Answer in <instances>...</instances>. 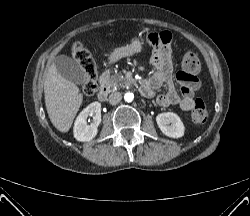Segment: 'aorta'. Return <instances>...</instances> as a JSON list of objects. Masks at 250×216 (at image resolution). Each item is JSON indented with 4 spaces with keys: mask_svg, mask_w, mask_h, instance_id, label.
<instances>
[{
    "mask_svg": "<svg viewBox=\"0 0 250 216\" xmlns=\"http://www.w3.org/2000/svg\"><path fill=\"white\" fill-rule=\"evenodd\" d=\"M124 99H125L126 102H132L133 99H134V94L130 93V92L125 93Z\"/></svg>",
    "mask_w": 250,
    "mask_h": 216,
    "instance_id": "762f6f07",
    "label": "aorta"
}]
</instances>
